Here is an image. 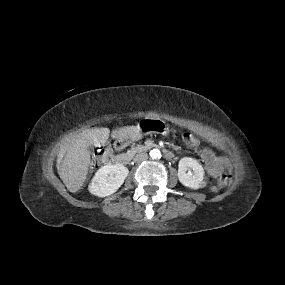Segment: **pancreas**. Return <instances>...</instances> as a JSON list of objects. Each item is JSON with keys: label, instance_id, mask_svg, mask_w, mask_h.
Masks as SVG:
<instances>
[{"label": "pancreas", "instance_id": "obj_1", "mask_svg": "<svg viewBox=\"0 0 285 285\" xmlns=\"http://www.w3.org/2000/svg\"><path fill=\"white\" fill-rule=\"evenodd\" d=\"M136 149H137L138 151L145 150V149H146V146L138 145V146L136 147Z\"/></svg>", "mask_w": 285, "mask_h": 285}]
</instances>
